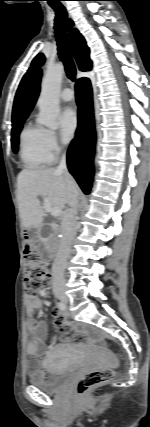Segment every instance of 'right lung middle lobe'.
I'll return each instance as SVG.
<instances>
[{
    "instance_id": "right-lung-middle-lobe-1",
    "label": "right lung middle lobe",
    "mask_w": 150,
    "mask_h": 427,
    "mask_svg": "<svg viewBox=\"0 0 150 427\" xmlns=\"http://www.w3.org/2000/svg\"><path fill=\"white\" fill-rule=\"evenodd\" d=\"M24 121L25 120H21L19 122L12 124L11 144H12V149L15 153L18 151V137L22 129V125L24 124Z\"/></svg>"
}]
</instances>
